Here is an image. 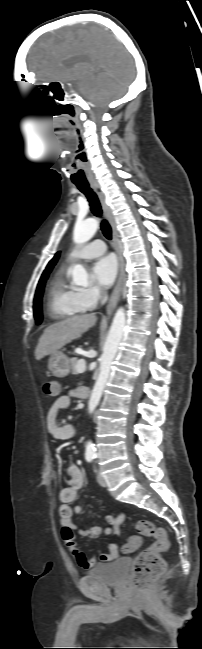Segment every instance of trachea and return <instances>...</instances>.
Wrapping results in <instances>:
<instances>
[{"mask_svg": "<svg viewBox=\"0 0 202 649\" xmlns=\"http://www.w3.org/2000/svg\"><path fill=\"white\" fill-rule=\"evenodd\" d=\"M75 184H76L77 188L83 194H85V196L87 197L92 213L96 217L102 218V209H101L99 199H98L96 193L93 192V190L90 188L89 183L86 182V183H75ZM101 230H102V233L104 234V236L108 240H111V238H112L111 227L108 224L107 220H105L103 218L101 220Z\"/></svg>", "mask_w": 202, "mask_h": 649, "instance_id": "3493384b", "label": "trachea"}]
</instances>
